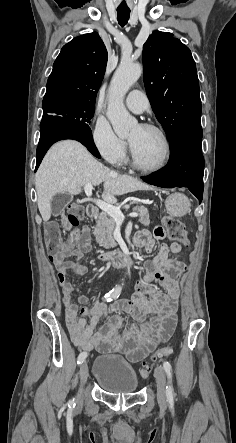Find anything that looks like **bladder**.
I'll return each instance as SVG.
<instances>
[{
    "label": "bladder",
    "mask_w": 236,
    "mask_h": 443,
    "mask_svg": "<svg viewBox=\"0 0 236 443\" xmlns=\"http://www.w3.org/2000/svg\"><path fill=\"white\" fill-rule=\"evenodd\" d=\"M94 378L98 385L112 394H132L139 380L135 370L126 361L113 356L99 357L94 365Z\"/></svg>",
    "instance_id": "bladder-1"
}]
</instances>
